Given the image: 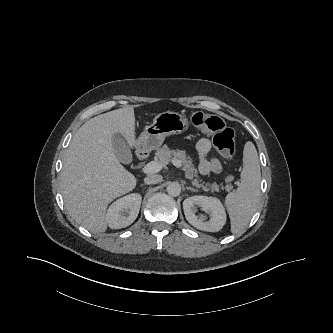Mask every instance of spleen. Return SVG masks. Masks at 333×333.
Returning a JSON list of instances; mask_svg holds the SVG:
<instances>
[{
	"instance_id": "1",
	"label": "spleen",
	"mask_w": 333,
	"mask_h": 333,
	"mask_svg": "<svg viewBox=\"0 0 333 333\" xmlns=\"http://www.w3.org/2000/svg\"><path fill=\"white\" fill-rule=\"evenodd\" d=\"M239 187L225 198L231 220V232L244 230L257 210L260 202L261 171L257 150L248 141L243 150V170Z\"/></svg>"
}]
</instances>
